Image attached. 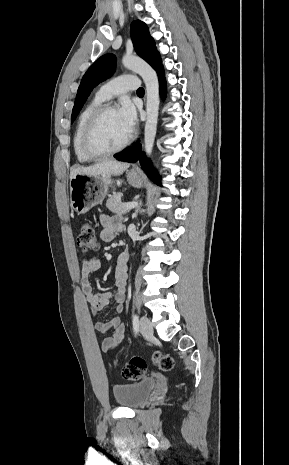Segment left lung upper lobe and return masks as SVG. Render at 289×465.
<instances>
[{
	"mask_svg": "<svg viewBox=\"0 0 289 465\" xmlns=\"http://www.w3.org/2000/svg\"><path fill=\"white\" fill-rule=\"evenodd\" d=\"M130 32L137 54L149 63L156 70L158 75L163 73L162 61L155 46V42L149 34L147 25L140 20L133 21ZM115 65V56L113 54H106L98 58L87 70L78 88L72 110V121L82 108L92 89L113 74Z\"/></svg>",
	"mask_w": 289,
	"mask_h": 465,
	"instance_id": "1",
	"label": "left lung upper lobe"
}]
</instances>
